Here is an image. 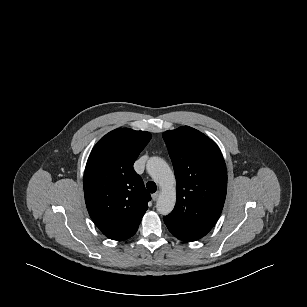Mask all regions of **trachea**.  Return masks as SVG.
Here are the masks:
<instances>
[{"mask_svg": "<svg viewBox=\"0 0 307 307\" xmlns=\"http://www.w3.org/2000/svg\"><path fill=\"white\" fill-rule=\"evenodd\" d=\"M146 187L150 193H154L157 190V186L153 181L147 182Z\"/></svg>", "mask_w": 307, "mask_h": 307, "instance_id": "trachea-1", "label": "trachea"}]
</instances>
